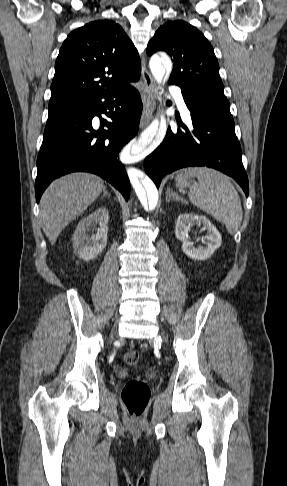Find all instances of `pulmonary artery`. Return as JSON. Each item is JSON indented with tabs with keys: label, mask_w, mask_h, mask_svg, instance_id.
<instances>
[{
	"label": "pulmonary artery",
	"mask_w": 287,
	"mask_h": 486,
	"mask_svg": "<svg viewBox=\"0 0 287 486\" xmlns=\"http://www.w3.org/2000/svg\"><path fill=\"white\" fill-rule=\"evenodd\" d=\"M171 90L172 92L175 94V97H176V101L178 103V106L179 108L181 109V111L183 112L184 116L189 119V112H188V109L186 107V104L183 100V97L181 95V92H180V89L177 88V87H171Z\"/></svg>",
	"instance_id": "obj_1"
}]
</instances>
